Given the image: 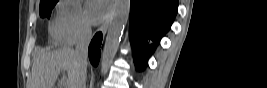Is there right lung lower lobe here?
Returning <instances> with one entry per match:
<instances>
[{
	"mask_svg": "<svg viewBox=\"0 0 267 88\" xmlns=\"http://www.w3.org/2000/svg\"><path fill=\"white\" fill-rule=\"evenodd\" d=\"M101 43H102V34L97 33L92 39L88 49L89 59L93 66H97L99 63L101 55L100 51Z\"/></svg>",
	"mask_w": 267,
	"mask_h": 88,
	"instance_id": "98d812e1",
	"label": "right lung lower lobe"
}]
</instances>
